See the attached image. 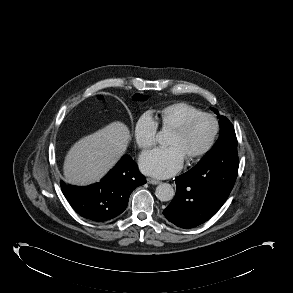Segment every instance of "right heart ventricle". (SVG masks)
<instances>
[{
  "instance_id": "obj_1",
  "label": "right heart ventricle",
  "mask_w": 293,
  "mask_h": 293,
  "mask_svg": "<svg viewBox=\"0 0 293 293\" xmlns=\"http://www.w3.org/2000/svg\"><path fill=\"white\" fill-rule=\"evenodd\" d=\"M199 113H202L201 109L189 103L174 102L163 106L156 112V121L163 129L173 131Z\"/></svg>"
}]
</instances>
